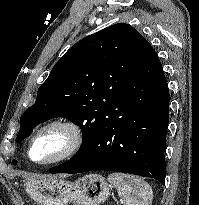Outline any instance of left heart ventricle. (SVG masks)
Instances as JSON below:
<instances>
[{
    "instance_id": "left-heart-ventricle-1",
    "label": "left heart ventricle",
    "mask_w": 199,
    "mask_h": 205,
    "mask_svg": "<svg viewBox=\"0 0 199 205\" xmlns=\"http://www.w3.org/2000/svg\"><path fill=\"white\" fill-rule=\"evenodd\" d=\"M65 144V135L60 130H50L42 134L35 142L32 157L43 161L57 155Z\"/></svg>"
}]
</instances>
